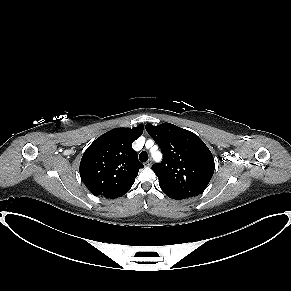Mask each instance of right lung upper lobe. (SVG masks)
<instances>
[{"label": "right lung upper lobe", "mask_w": 291, "mask_h": 291, "mask_svg": "<svg viewBox=\"0 0 291 291\" xmlns=\"http://www.w3.org/2000/svg\"><path fill=\"white\" fill-rule=\"evenodd\" d=\"M137 127L115 128L97 138L84 152L80 176L95 196L115 199L123 196L134 184L143 164L138 161L132 143L143 133Z\"/></svg>", "instance_id": "1"}]
</instances>
